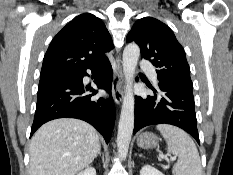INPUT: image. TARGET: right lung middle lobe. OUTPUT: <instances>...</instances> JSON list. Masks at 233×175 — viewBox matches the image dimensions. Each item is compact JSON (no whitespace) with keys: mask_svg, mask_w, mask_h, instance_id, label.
Here are the masks:
<instances>
[{"mask_svg":"<svg viewBox=\"0 0 233 175\" xmlns=\"http://www.w3.org/2000/svg\"><path fill=\"white\" fill-rule=\"evenodd\" d=\"M58 78H61V77L50 78V79H40L39 84H43V83H45V82H48V81L53 80V79H58Z\"/></svg>","mask_w":233,"mask_h":175,"instance_id":"obj_1","label":"right lung middle lobe"}]
</instances>
